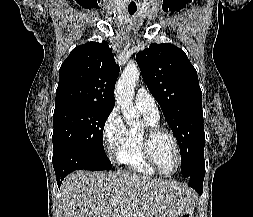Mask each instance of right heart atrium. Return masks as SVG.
I'll return each mask as SVG.
<instances>
[{"instance_id":"d8ad5b80","label":"right heart atrium","mask_w":253,"mask_h":217,"mask_svg":"<svg viewBox=\"0 0 253 217\" xmlns=\"http://www.w3.org/2000/svg\"><path fill=\"white\" fill-rule=\"evenodd\" d=\"M126 126L118 109L114 108L102 127V139L109 155H112L126 134Z\"/></svg>"}]
</instances>
